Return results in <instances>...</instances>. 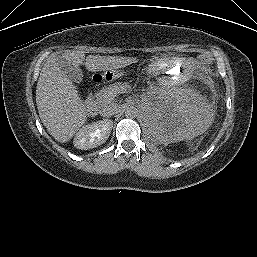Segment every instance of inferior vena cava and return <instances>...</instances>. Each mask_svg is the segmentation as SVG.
I'll return each instance as SVG.
<instances>
[{
    "instance_id": "obj_1",
    "label": "inferior vena cava",
    "mask_w": 257,
    "mask_h": 257,
    "mask_svg": "<svg viewBox=\"0 0 257 257\" xmlns=\"http://www.w3.org/2000/svg\"><path fill=\"white\" fill-rule=\"evenodd\" d=\"M118 109L117 103H107L100 109V114L103 117H110L116 113Z\"/></svg>"
}]
</instances>
